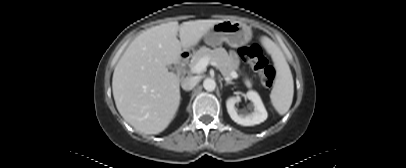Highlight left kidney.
<instances>
[{
  "mask_svg": "<svg viewBox=\"0 0 406 168\" xmlns=\"http://www.w3.org/2000/svg\"><path fill=\"white\" fill-rule=\"evenodd\" d=\"M246 97L253 103V111L238 113L235 104L240 101L239 97H230L226 101V107L231 119L242 126H253L264 122L267 117V111L263 102L255 91H248Z\"/></svg>",
  "mask_w": 406,
  "mask_h": 168,
  "instance_id": "left-kidney-1",
  "label": "left kidney"
}]
</instances>
